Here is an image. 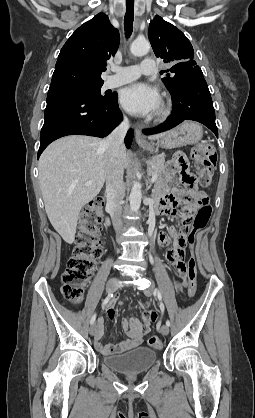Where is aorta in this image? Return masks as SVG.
<instances>
[{"label": "aorta", "mask_w": 255, "mask_h": 418, "mask_svg": "<svg viewBox=\"0 0 255 418\" xmlns=\"http://www.w3.org/2000/svg\"><path fill=\"white\" fill-rule=\"evenodd\" d=\"M150 49V44L146 40H135L130 47V51L135 56H143L148 53ZM141 185L139 182H134L131 188L129 201L130 209L134 212L138 211L141 205Z\"/></svg>", "instance_id": "obj_1"}]
</instances>
